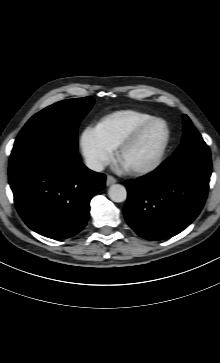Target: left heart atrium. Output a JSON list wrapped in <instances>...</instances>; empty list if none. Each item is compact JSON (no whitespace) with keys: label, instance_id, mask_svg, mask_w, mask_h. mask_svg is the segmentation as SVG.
<instances>
[{"label":"left heart atrium","instance_id":"1","mask_svg":"<svg viewBox=\"0 0 220 363\" xmlns=\"http://www.w3.org/2000/svg\"><path fill=\"white\" fill-rule=\"evenodd\" d=\"M118 169H119V170H127V169H129V168H127V166H125L123 163H120V164L118 165Z\"/></svg>","mask_w":220,"mask_h":363}]
</instances>
